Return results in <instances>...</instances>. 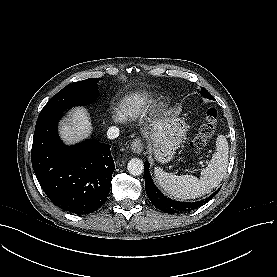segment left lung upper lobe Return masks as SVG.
Segmentation results:
<instances>
[{
  "mask_svg": "<svg viewBox=\"0 0 277 277\" xmlns=\"http://www.w3.org/2000/svg\"><path fill=\"white\" fill-rule=\"evenodd\" d=\"M203 97L208 98L210 100H214V98L212 97V95L205 89L202 88L201 91L199 92Z\"/></svg>",
  "mask_w": 277,
  "mask_h": 277,
  "instance_id": "left-lung-upper-lobe-1",
  "label": "left lung upper lobe"
}]
</instances>
